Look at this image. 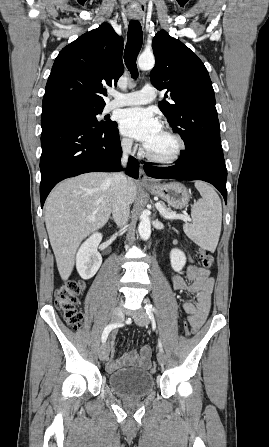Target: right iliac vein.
<instances>
[{
    "label": "right iliac vein",
    "mask_w": 269,
    "mask_h": 447,
    "mask_svg": "<svg viewBox=\"0 0 269 447\" xmlns=\"http://www.w3.org/2000/svg\"><path fill=\"white\" fill-rule=\"evenodd\" d=\"M124 318L123 308L121 306H117L112 313V322L119 323ZM109 344L108 342H104L99 349V358L102 361H105L109 355Z\"/></svg>",
    "instance_id": "63e3f726"
}]
</instances>
